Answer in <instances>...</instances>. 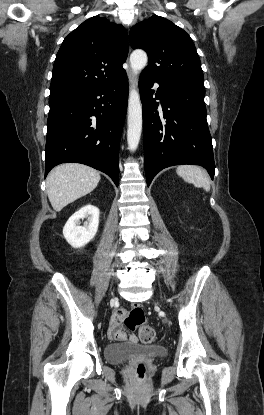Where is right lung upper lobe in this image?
<instances>
[{
  "label": "right lung upper lobe",
  "instance_id": "right-lung-upper-lobe-1",
  "mask_svg": "<svg viewBox=\"0 0 264 415\" xmlns=\"http://www.w3.org/2000/svg\"><path fill=\"white\" fill-rule=\"evenodd\" d=\"M128 35L122 25L94 16L63 41L53 66L49 100L110 83L125 70Z\"/></svg>",
  "mask_w": 264,
  "mask_h": 415
}]
</instances>
